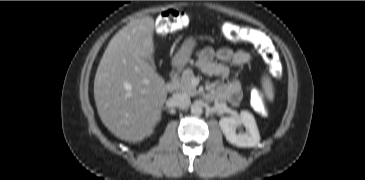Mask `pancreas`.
Here are the masks:
<instances>
[{"mask_svg":"<svg viewBox=\"0 0 365 180\" xmlns=\"http://www.w3.org/2000/svg\"><path fill=\"white\" fill-rule=\"evenodd\" d=\"M194 78V73L191 69H186L183 71L182 76L177 81V90L183 92L189 96H195L198 91L191 81Z\"/></svg>","mask_w":365,"mask_h":180,"instance_id":"1","label":"pancreas"}]
</instances>
